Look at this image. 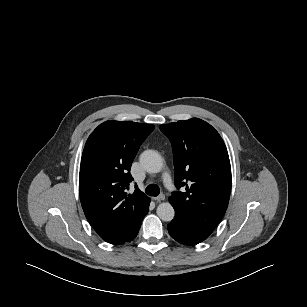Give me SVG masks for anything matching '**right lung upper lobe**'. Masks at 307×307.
Here are the masks:
<instances>
[{
  "mask_svg": "<svg viewBox=\"0 0 307 307\" xmlns=\"http://www.w3.org/2000/svg\"><path fill=\"white\" fill-rule=\"evenodd\" d=\"M152 124L106 121L86 141L80 166L79 193L85 216L108 243L133 240L149 211L150 198L133 180L131 164L140 145L154 130Z\"/></svg>",
  "mask_w": 307,
  "mask_h": 307,
  "instance_id": "cb5924a9",
  "label": "right lung upper lobe"
}]
</instances>
